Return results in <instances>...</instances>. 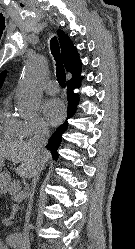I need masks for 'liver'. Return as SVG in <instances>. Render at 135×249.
<instances>
[{"label": "liver", "mask_w": 135, "mask_h": 249, "mask_svg": "<svg viewBox=\"0 0 135 249\" xmlns=\"http://www.w3.org/2000/svg\"><path fill=\"white\" fill-rule=\"evenodd\" d=\"M0 158H7L13 163L20 164L16 173L23 178H31L35 168L51 158L47 151L42 157L36 153L34 147L29 142H10L0 140Z\"/></svg>", "instance_id": "1"}]
</instances>
